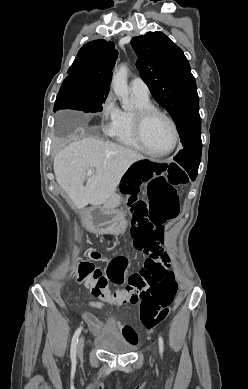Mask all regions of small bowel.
<instances>
[{"instance_id":"c3829d8e","label":"small bowel","mask_w":248,"mask_h":389,"mask_svg":"<svg viewBox=\"0 0 248 389\" xmlns=\"http://www.w3.org/2000/svg\"><path fill=\"white\" fill-rule=\"evenodd\" d=\"M87 284V282H86ZM120 290L119 292H122ZM101 298V297H100ZM103 299V298H102ZM105 300V299H103ZM108 301V300H105ZM110 302V301H108ZM91 306L98 309H105V305L102 301H93L91 302ZM83 316L85 320L89 323L91 329L101 328V330L107 334L112 336H122L127 339L129 342L133 344L138 343V336L135 330L128 325H122L120 321H108L105 323L99 322L90 312L84 311Z\"/></svg>"}]
</instances>
